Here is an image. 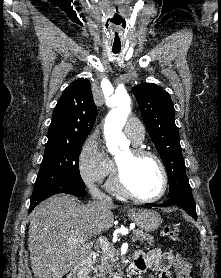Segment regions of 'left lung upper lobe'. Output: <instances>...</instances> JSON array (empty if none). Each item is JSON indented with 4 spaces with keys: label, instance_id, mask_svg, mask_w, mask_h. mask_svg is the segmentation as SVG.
<instances>
[{
    "label": "left lung upper lobe",
    "instance_id": "1",
    "mask_svg": "<svg viewBox=\"0 0 221 278\" xmlns=\"http://www.w3.org/2000/svg\"><path fill=\"white\" fill-rule=\"evenodd\" d=\"M142 119L160 154L169 178V198L178 191L190 188L174 122L175 110L169 94L154 83L133 88Z\"/></svg>",
    "mask_w": 221,
    "mask_h": 278
}]
</instances>
